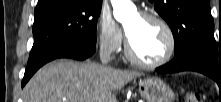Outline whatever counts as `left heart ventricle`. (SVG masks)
I'll use <instances>...</instances> for the list:
<instances>
[{
  "mask_svg": "<svg viewBox=\"0 0 221 102\" xmlns=\"http://www.w3.org/2000/svg\"><path fill=\"white\" fill-rule=\"evenodd\" d=\"M126 30L135 53L144 61L154 62L165 55L168 38L157 22L136 14L127 22Z\"/></svg>",
  "mask_w": 221,
  "mask_h": 102,
  "instance_id": "b2bd125f",
  "label": "left heart ventricle"
}]
</instances>
